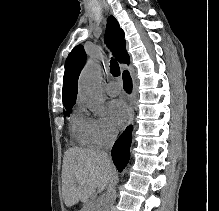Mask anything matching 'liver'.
I'll use <instances>...</instances> for the list:
<instances>
[{"label":"liver","instance_id":"1","mask_svg":"<svg viewBox=\"0 0 219 211\" xmlns=\"http://www.w3.org/2000/svg\"><path fill=\"white\" fill-rule=\"evenodd\" d=\"M114 173V165L109 155L87 149L69 147L65 151L62 167L63 197L66 205L78 201H89L97 187L105 189Z\"/></svg>","mask_w":219,"mask_h":211}]
</instances>
